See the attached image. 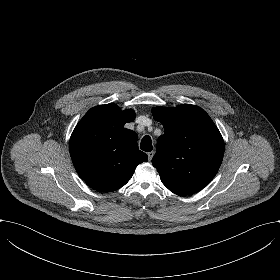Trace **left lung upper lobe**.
I'll list each match as a JSON object with an SVG mask.
<instances>
[{"label": "left lung upper lobe", "mask_w": 280, "mask_h": 280, "mask_svg": "<svg viewBox=\"0 0 280 280\" xmlns=\"http://www.w3.org/2000/svg\"><path fill=\"white\" fill-rule=\"evenodd\" d=\"M152 114L164 127L152 159L162 183L180 196L200 191L214 178L223 159L224 141L218 128L195 105L154 107Z\"/></svg>", "instance_id": "5c2ea615"}]
</instances>
